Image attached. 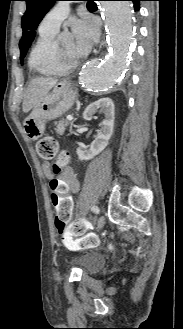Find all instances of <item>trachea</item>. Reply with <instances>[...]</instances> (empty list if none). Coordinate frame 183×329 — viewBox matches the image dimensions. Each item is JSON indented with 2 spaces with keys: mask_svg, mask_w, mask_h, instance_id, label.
<instances>
[{
  "mask_svg": "<svg viewBox=\"0 0 183 329\" xmlns=\"http://www.w3.org/2000/svg\"><path fill=\"white\" fill-rule=\"evenodd\" d=\"M87 5H88V6H89V5H92V3H91V2H88V4H87Z\"/></svg>",
  "mask_w": 183,
  "mask_h": 329,
  "instance_id": "1",
  "label": "trachea"
}]
</instances>
